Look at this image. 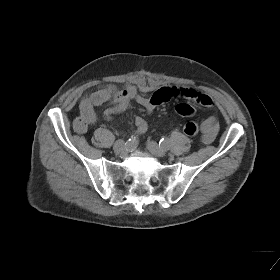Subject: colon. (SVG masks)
<instances>
[{
  "mask_svg": "<svg viewBox=\"0 0 280 280\" xmlns=\"http://www.w3.org/2000/svg\"><path fill=\"white\" fill-rule=\"evenodd\" d=\"M177 112L182 115V116H189L193 113V109L190 105L188 104H185V103H182V104H179L176 108ZM86 126L85 122L80 118L78 117L75 121H74V128L76 130H82L84 129ZM185 133L187 135H190V136H194L198 133V126L196 123L194 122H188L186 125H185Z\"/></svg>",
  "mask_w": 280,
  "mask_h": 280,
  "instance_id": "1",
  "label": "colon"
}]
</instances>
